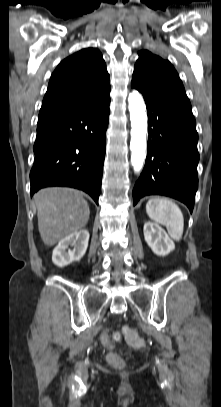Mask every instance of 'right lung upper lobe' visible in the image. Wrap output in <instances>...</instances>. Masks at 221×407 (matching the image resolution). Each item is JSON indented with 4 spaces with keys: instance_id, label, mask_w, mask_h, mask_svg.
<instances>
[{
    "instance_id": "obj_1",
    "label": "right lung upper lobe",
    "mask_w": 221,
    "mask_h": 407,
    "mask_svg": "<svg viewBox=\"0 0 221 407\" xmlns=\"http://www.w3.org/2000/svg\"><path fill=\"white\" fill-rule=\"evenodd\" d=\"M109 92V74L102 54L94 48L82 49L64 59L53 72L38 120L86 107Z\"/></svg>"
}]
</instances>
